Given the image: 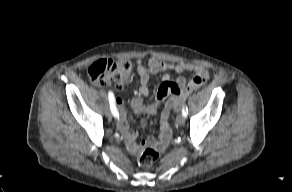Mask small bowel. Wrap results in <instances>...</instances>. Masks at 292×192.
I'll return each mask as SVG.
<instances>
[{
	"label": "small bowel",
	"mask_w": 292,
	"mask_h": 192,
	"mask_svg": "<svg viewBox=\"0 0 292 192\" xmlns=\"http://www.w3.org/2000/svg\"><path fill=\"white\" fill-rule=\"evenodd\" d=\"M135 68L138 73L136 87L142 95H147L149 93L150 77L158 73H163L162 82L158 85L159 90L157 91V98L154 103L145 106L140 97L134 98L131 102V106L136 113L145 111L152 114L160 110L158 125L161 130V135L158 141L150 139L138 143V133L132 130L128 124L122 100L119 98L116 100L121 114L117 121L118 129L124 137L129 152L137 155L147 145L164 148L168 144L171 137V130L168 122L170 112L179 106L180 98L193 89L202 86L208 80L209 73L207 68L200 64H174L160 61L155 57L150 58L146 64L138 60ZM169 71H174L178 74L185 71H192L194 74L189 80H186L184 77H179L176 81L172 82L170 81ZM165 99H167V102L163 106ZM143 125H147V122H143Z\"/></svg>",
	"instance_id": "small-bowel-1"
}]
</instances>
